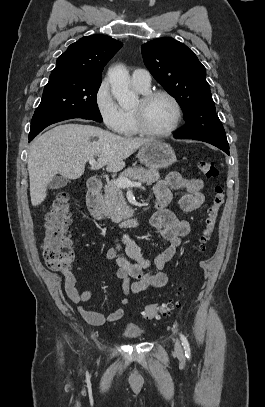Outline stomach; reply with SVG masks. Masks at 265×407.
Returning <instances> with one entry per match:
<instances>
[{
    "label": "stomach",
    "mask_w": 265,
    "mask_h": 407,
    "mask_svg": "<svg viewBox=\"0 0 265 407\" xmlns=\"http://www.w3.org/2000/svg\"><path fill=\"white\" fill-rule=\"evenodd\" d=\"M138 159L150 169L168 168L176 162V155L170 145L153 140L144 144L138 151Z\"/></svg>",
    "instance_id": "obj_1"
}]
</instances>
